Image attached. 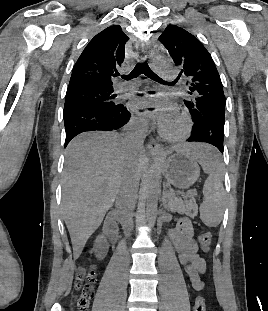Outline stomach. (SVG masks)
<instances>
[{
  "instance_id": "0dacf381",
  "label": "stomach",
  "mask_w": 268,
  "mask_h": 311,
  "mask_svg": "<svg viewBox=\"0 0 268 311\" xmlns=\"http://www.w3.org/2000/svg\"><path fill=\"white\" fill-rule=\"evenodd\" d=\"M157 164L168 183L176 188H189L200 176V168L189 149H175L168 157L164 154L157 158Z\"/></svg>"
}]
</instances>
